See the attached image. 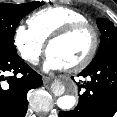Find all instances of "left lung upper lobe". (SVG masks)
Listing matches in <instances>:
<instances>
[{
	"label": "left lung upper lobe",
	"mask_w": 117,
	"mask_h": 117,
	"mask_svg": "<svg viewBox=\"0 0 117 117\" xmlns=\"http://www.w3.org/2000/svg\"><path fill=\"white\" fill-rule=\"evenodd\" d=\"M97 26L102 35L100 46L96 56L88 66L98 62L112 49L117 48V27L111 21L104 18L97 19Z\"/></svg>",
	"instance_id": "left-lung-upper-lobe-1"
}]
</instances>
